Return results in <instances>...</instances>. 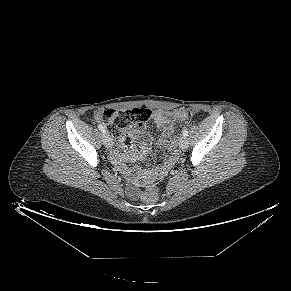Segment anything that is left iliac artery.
<instances>
[{
	"label": "left iliac artery",
	"mask_w": 291,
	"mask_h": 291,
	"mask_svg": "<svg viewBox=\"0 0 291 291\" xmlns=\"http://www.w3.org/2000/svg\"><path fill=\"white\" fill-rule=\"evenodd\" d=\"M183 136H184V137H187V136H188V129H187V128L184 129V131H183Z\"/></svg>",
	"instance_id": "left-iliac-artery-1"
}]
</instances>
